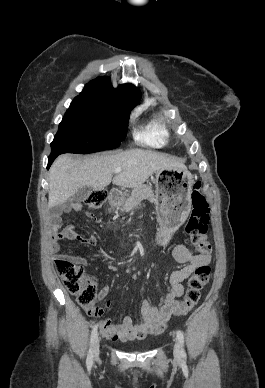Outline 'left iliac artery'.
<instances>
[{"instance_id": "44dca946", "label": "left iliac artery", "mask_w": 265, "mask_h": 388, "mask_svg": "<svg viewBox=\"0 0 265 388\" xmlns=\"http://www.w3.org/2000/svg\"><path fill=\"white\" fill-rule=\"evenodd\" d=\"M177 334V338L181 344V355L184 357L186 355L184 349H183V345H184V334L181 330H177L176 332Z\"/></svg>"}]
</instances>
